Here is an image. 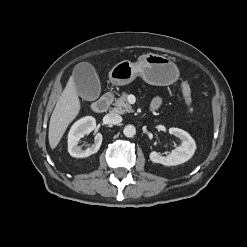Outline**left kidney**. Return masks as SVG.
<instances>
[{
    "label": "left kidney",
    "mask_w": 247,
    "mask_h": 247,
    "mask_svg": "<svg viewBox=\"0 0 247 247\" xmlns=\"http://www.w3.org/2000/svg\"><path fill=\"white\" fill-rule=\"evenodd\" d=\"M169 134L176 136L181 141V145L168 156H161L158 152L152 151L149 157L153 163L174 166L188 161L193 156L196 150V143L189 133L173 127L169 129Z\"/></svg>",
    "instance_id": "1"
}]
</instances>
